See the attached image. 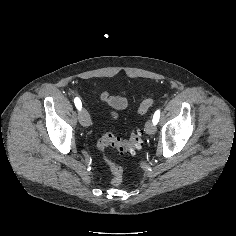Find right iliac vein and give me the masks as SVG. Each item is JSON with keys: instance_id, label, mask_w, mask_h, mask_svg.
I'll use <instances>...</instances> for the list:
<instances>
[{"instance_id": "63e3f726", "label": "right iliac vein", "mask_w": 236, "mask_h": 236, "mask_svg": "<svg viewBox=\"0 0 236 236\" xmlns=\"http://www.w3.org/2000/svg\"><path fill=\"white\" fill-rule=\"evenodd\" d=\"M79 121L82 126L84 127H89L91 124V119L89 113L85 110L82 109L79 115Z\"/></svg>"}]
</instances>
